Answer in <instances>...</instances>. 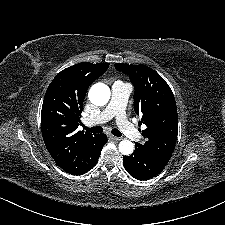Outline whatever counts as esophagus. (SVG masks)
Wrapping results in <instances>:
<instances>
[{"mask_svg": "<svg viewBox=\"0 0 225 225\" xmlns=\"http://www.w3.org/2000/svg\"><path fill=\"white\" fill-rule=\"evenodd\" d=\"M109 138L113 141H121L122 140L121 137H116V136H109Z\"/></svg>", "mask_w": 225, "mask_h": 225, "instance_id": "esophagus-1", "label": "esophagus"}]
</instances>
